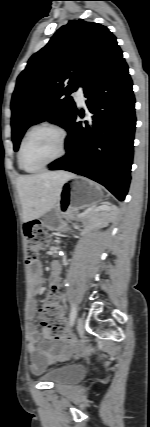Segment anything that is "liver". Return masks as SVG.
I'll return each instance as SVG.
<instances>
[{"label":"liver","mask_w":150,"mask_h":427,"mask_svg":"<svg viewBox=\"0 0 150 427\" xmlns=\"http://www.w3.org/2000/svg\"><path fill=\"white\" fill-rule=\"evenodd\" d=\"M74 175L64 171L45 172L17 179L23 221L40 218L57 203L63 184Z\"/></svg>","instance_id":"1"}]
</instances>
